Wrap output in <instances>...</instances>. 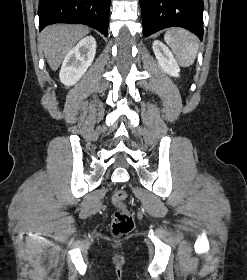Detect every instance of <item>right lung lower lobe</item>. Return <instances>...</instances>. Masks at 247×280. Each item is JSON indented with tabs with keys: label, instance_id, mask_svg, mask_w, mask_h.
<instances>
[{
	"label": "right lung lower lobe",
	"instance_id": "1",
	"mask_svg": "<svg viewBox=\"0 0 247 280\" xmlns=\"http://www.w3.org/2000/svg\"><path fill=\"white\" fill-rule=\"evenodd\" d=\"M111 0H39V27L57 23H83L108 35Z\"/></svg>",
	"mask_w": 247,
	"mask_h": 280
}]
</instances>
